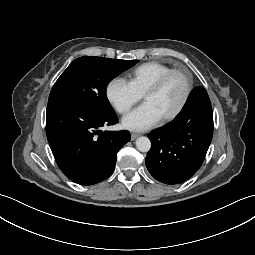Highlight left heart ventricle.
Returning a JSON list of instances; mask_svg holds the SVG:
<instances>
[{"mask_svg": "<svg viewBox=\"0 0 255 255\" xmlns=\"http://www.w3.org/2000/svg\"><path fill=\"white\" fill-rule=\"evenodd\" d=\"M185 87L184 77L181 74H173L158 92L148 95L144 100L152 104L161 117H164L178 107L184 96Z\"/></svg>", "mask_w": 255, "mask_h": 255, "instance_id": "left-heart-ventricle-1", "label": "left heart ventricle"}]
</instances>
